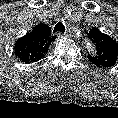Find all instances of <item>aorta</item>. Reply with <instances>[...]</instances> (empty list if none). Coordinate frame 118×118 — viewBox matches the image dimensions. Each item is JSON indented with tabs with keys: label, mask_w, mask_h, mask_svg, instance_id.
<instances>
[{
	"label": "aorta",
	"mask_w": 118,
	"mask_h": 118,
	"mask_svg": "<svg viewBox=\"0 0 118 118\" xmlns=\"http://www.w3.org/2000/svg\"><path fill=\"white\" fill-rule=\"evenodd\" d=\"M86 43L88 44L89 48H92V45H91V43L88 42V40H86Z\"/></svg>",
	"instance_id": "762f6f07"
}]
</instances>
